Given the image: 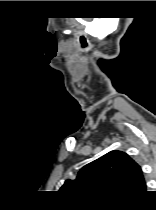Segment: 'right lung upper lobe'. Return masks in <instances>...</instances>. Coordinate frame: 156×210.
I'll list each match as a JSON object with an SVG mask.
<instances>
[{
  "label": "right lung upper lobe",
  "instance_id": "1",
  "mask_svg": "<svg viewBox=\"0 0 156 210\" xmlns=\"http://www.w3.org/2000/svg\"><path fill=\"white\" fill-rule=\"evenodd\" d=\"M60 191L90 202H131L146 192V182L141 167L125 152L114 150L85 165Z\"/></svg>",
  "mask_w": 156,
  "mask_h": 210
}]
</instances>
